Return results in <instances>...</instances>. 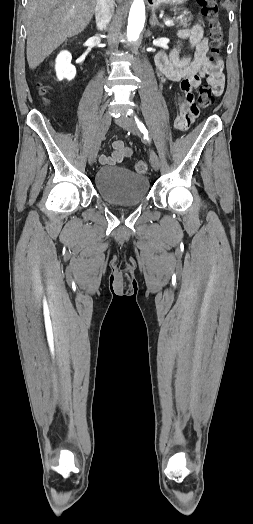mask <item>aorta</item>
<instances>
[{"mask_svg":"<svg viewBox=\"0 0 253 524\" xmlns=\"http://www.w3.org/2000/svg\"><path fill=\"white\" fill-rule=\"evenodd\" d=\"M145 23V4L143 0H134L130 8L127 37L129 41H136L143 30Z\"/></svg>","mask_w":253,"mask_h":524,"instance_id":"obj_1","label":"aorta"}]
</instances>
